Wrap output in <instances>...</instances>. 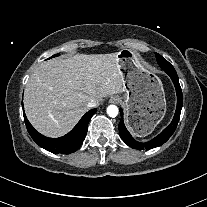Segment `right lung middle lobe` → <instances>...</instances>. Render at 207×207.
<instances>
[{
  "instance_id": "dd1d6c3e",
  "label": "right lung middle lobe",
  "mask_w": 207,
  "mask_h": 207,
  "mask_svg": "<svg viewBox=\"0 0 207 207\" xmlns=\"http://www.w3.org/2000/svg\"><path fill=\"white\" fill-rule=\"evenodd\" d=\"M59 54L53 55L52 57L58 56Z\"/></svg>"
}]
</instances>
